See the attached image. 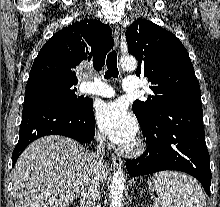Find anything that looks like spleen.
Segmentation results:
<instances>
[{
  "instance_id": "3e777b00",
  "label": "spleen",
  "mask_w": 220,
  "mask_h": 207,
  "mask_svg": "<svg viewBox=\"0 0 220 207\" xmlns=\"http://www.w3.org/2000/svg\"><path fill=\"white\" fill-rule=\"evenodd\" d=\"M154 184L158 193L154 207H206L202 187L186 174L158 172L154 175Z\"/></svg>"
}]
</instances>
